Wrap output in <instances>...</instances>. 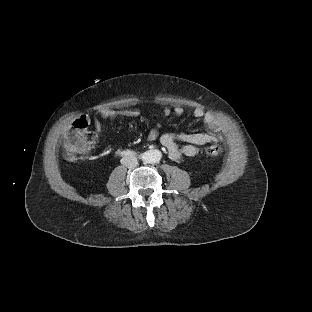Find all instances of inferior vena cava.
<instances>
[{
    "label": "inferior vena cava",
    "instance_id": "602c4592",
    "mask_svg": "<svg viewBox=\"0 0 312 312\" xmlns=\"http://www.w3.org/2000/svg\"><path fill=\"white\" fill-rule=\"evenodd\" d=\"M128 160H129V162H126V166H127L128 168H133V167H136V166L139 165L138 160L135 159V158H133V159H128Z\"/></svg>",
    "mask_w": 312,
    "mask_h": 312
}]
</instances>
